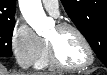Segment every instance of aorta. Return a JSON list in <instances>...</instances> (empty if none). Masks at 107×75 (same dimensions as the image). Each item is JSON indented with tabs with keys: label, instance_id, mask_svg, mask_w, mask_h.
I'll return each instance as SVG.
<instances>
[{
	"label": "aorta",
	"instance_id": "obj_1",
	"mask_svg": "<svg viewBox=\"0 0 107 75\" xmlns=\"http://www.w3.org/2000/svg\"><path fill=\"white\" fill-rule=\"evenodd\" d=\"M19 6L26 22L38 35L44 36L50 23L43 10L41 0H19Z\"/></svg>",
	"mask_w": 107,
	"mask_h": 75
}]
</instances>
